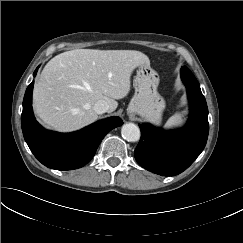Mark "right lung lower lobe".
Wrapping results in <instances>:
<instances>
[{
    "mask_svg": "<svg viewBox=\"0 0 243 243\" xmlns=\"http://www.w3.org/2000/svg\"><path fill=\"white\" fill-rule=\"evenodd\" d=\"M33 85L34 82L28 86L23 100L22 131L31 152L49 168L72 170L83 167L92 159L105 135L123 124L119 117H111L73 133L63 134L45 130L33 114Z\"/></svg>",
    "mask_w": 243,
    "mask_h": 243,
    "instance_id": "1",
    "label": "right lung lower lobe"
}]
</instances>
